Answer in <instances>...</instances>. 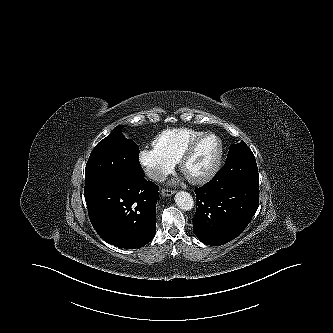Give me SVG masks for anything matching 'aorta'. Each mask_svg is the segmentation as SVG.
Segmentation results:
<instances>
[{"mask_svg": "<svg viewBox=\"0 0 333 333\" xmlns=\"http://www.w3.org/2000/svg\"><path fill=\"white\" fill-rule=\"evenodd\" d=\"M175 202L180 209L185 211L191 210L194 206L192 196L185 191H179L176 193Z\"/></svg>", "mask_w": 333, "mask_h": 333, "instance_id": "1", "label": "aorta"}]
</instances>
